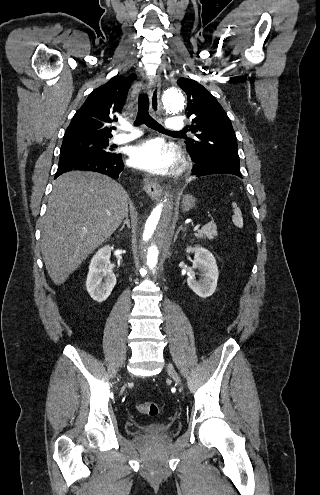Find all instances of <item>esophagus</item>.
Here are the masks:
<instances>
[{
	"instance_id": "obj_1",
	"label": "esophagus",
	"mask_w": 320,
	"mask_h": 495,
	"mask_svg": "<svg viewBox=\"0 0 320 495\" xmlns=\"http://www.w3.org/2000/svg\"><path fill=\"white\" fill-rule=\"evenodd\" d=\"M160 87V78L158 76H154L149 85L150 110L154 116L159 113L160 109ZM143 188L146 193L154 199L160 198L163 192L162 186L148 177L144 178Z\"/></svg>"
}]
</instances>
